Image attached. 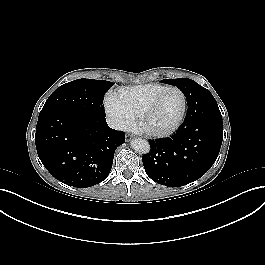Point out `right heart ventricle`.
Here are the masks:
<instances>
[{
  "label": "right heart ventricle",
  "mask_w": 265,
  "mask_h": 265,
  "mask_svg": "<svg viewBox=\"0 0 265 265\" xmlns=\"http://www.w3.org/2000/svg\"><path fill=\"white\" fill-rule=\"evenodd\" d=\"M165 87V85L157 83H148L130 88H121L118 95L122 103L132 113L135 119L140 116L150 101Z\"/></svg>",
  "instance_id": "obj_1"
}]
</instances>
